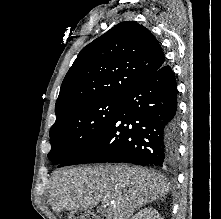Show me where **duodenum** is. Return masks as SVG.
Segmentation results:
<instances>
[{
    "label": "duodenum",
    "mask_w": 221,
    "mask_h": 219,
    "mask_svg": "<svg viewBox=\"0 0 221 219\" xmlns=\"http://www.w3.org/2000/svg\"><path fill=\"white\" fill-rule=\"evenodd\" d=\"M101 219H107V217H102Z\"/></svg>",
    "instance_id": "410a0bca"
}]
</instances>
